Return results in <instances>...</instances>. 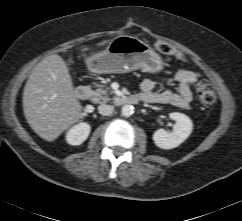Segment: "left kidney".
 Instances as JSON below:
<instances>
[{
	"instance_id": "left-kidney-1",
	"label": "left kidney",
	"mask_w": 242,
	"mask_h": 221,
	"mask_svg": "<svg viewBox=\"0 0 242 221\" xmlns=\"http://www.w3.org/2000/svg\"><path fill=\"white\" fill-rule=\"evenodd\" d=\"M169 117L176 123L172 131L158 129L153 134L154 143L161 149H173L183 143L191 134L193 123L185 114L173 112Z\"/></svg>"
}]
</instances>
